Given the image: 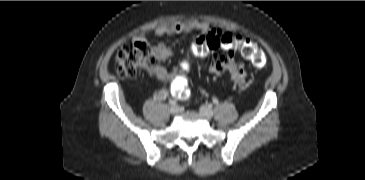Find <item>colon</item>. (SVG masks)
I'll list each match as a JSON object with an SVG mask.
<instances>
[{
    "label": "colon",
    "mask_w": 365,
    "mask_h": 180,
    "mask_svg": "<svg viewBox=\"0 0 365 180\" xmlns=\"http://www.w3.org/2000/svg\"><path fill=\"white\" fill-rule=\"evenodd\" d=\"M222 46L227 51H239L241 55L250 61L257 68H265L267 65L266 55L263 49L256 43L233 34L227 33L220 38L212 35L207 36L203 42L193 45L194 53L197 56L207 54L209 47L214 49ZM117 74L122 79L133 78L140 69H151L155 60L147 45L139 40L123 44L116 53ZM172 93L180 99L189 97L187 82L180 78L172 85Z\"/></svg>",
    "instance_id": "colon-1"
}]
</instances>
